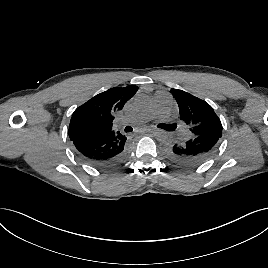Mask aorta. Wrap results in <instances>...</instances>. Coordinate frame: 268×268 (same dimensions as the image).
Instances as JSON below:
<instances>
[{"mask_svg": "<svg viewBox=\"0 0 268 268\" xmlns=\"http://www.w3.org/2000/svg\"><path fill=\"white\" fill-rule=\"evenodd\" d=\"M149 102V97L146 95H139L138 98L136 99V105L138 107H145ZM153 138L156 142L161 143L165 140L166 138V131L163 128H158L154 135Z\"/></svg>", "mask_w": 268, "mask_h": 268, "instance_id": "obj_1", "label": "aorta"}]
</instances>
